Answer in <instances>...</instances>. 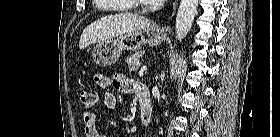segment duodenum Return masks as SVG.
Returning <instances> with one entry per match:
<instances>
[{
	"label": "duodenum",
	"instance_id": "1",
	"mask_svg": "<svg viewBox=\"0 0 280 137\" xmlns=\"http://www.w3.org/2000/svg\"><path fill=\"white\" fill-rule=\"evenodd\" d=\"M137 96L140 103L139 119L143 126H148L153 120V107L147 85L139 84Z\"/></svg>",
	"mask_w": 280,
	"mask_h": 137
}]
</instances>
